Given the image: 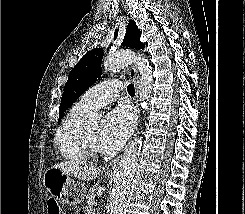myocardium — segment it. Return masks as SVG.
<instances>
[{"label": "myocardium", "instance_id": "myocardium-1", "mask_svg": "<svg viewBox=\"0 0 245 214\" xmlns=\"http://www.w3.org/2000/svg\"><path fill=\"white\" fill-rule=\"evenodd\" d=\"M78 143L81 152L87 158H96L102 154L100 150L93 148L89 143L87 132H86V123H83L79 130Z\"/></svg>", "mask_w": 245, "mask_h": 214}]
</instances>
